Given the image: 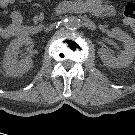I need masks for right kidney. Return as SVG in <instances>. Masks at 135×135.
Listing matches in <instances>:
<instances>
[{
  "mask_svg": "<svg viewBox=\"0 0 135 135\" xmlns=\"http://www.w3.org/2000/svg\"><path fill=\"white\" fill-rule=\"evenodd\" d=\"M24 45L28 46V49L31 50L33 47L32 39L28 36L15 38L6 48L3 68L7 75L14 77L20 76L33 68L31 57L28 56L19 61L17 60L19 49Z\"/></svg>",
  "mask_w": 135,
  "mask_h": 135,
  "instance_id": "1",
  "label": "right kidney"
}]
</instances>
